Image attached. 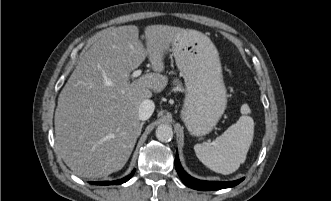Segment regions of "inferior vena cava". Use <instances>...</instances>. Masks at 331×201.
Instances as JSON below:
<instances>
[{
	"instance_id": "602c4592",
	"label": "inferior vena cava",
	"mask_w": 331,
	"mask_h": 201,
	"mask_svg": "<svg viewBox=\"0 0 331 201\" xmlns=\"http://www.w3.org/2000/svg\"><path fill=\"white\" fill-rule=\"evenodd\" d=\"M154 109H155L154 102L152 100L145 99L144 101H142V103L139 106V111H138L139 119L143 121L149 119L152 113L154 112Z\"/></svg>"
}]
</instances>
